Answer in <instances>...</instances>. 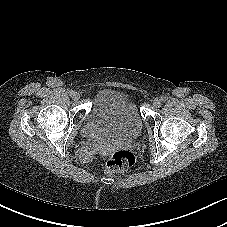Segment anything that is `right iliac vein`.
Masks as SVG:
<instances>
[{
    "label": "right iliac vein",
    "instance_id": "1",
    "mask_svg": "<svg viewBox=\"0 0 227 227\" xmlns=\"http://www.w3.org/2000/svg\"><path fill=\"white\" fill-rule=\"evenodd\" d=\"M73 100L77 101L80 99V94L75 92L74 95L72 96Z\"/></svg>",
    "mask_w": 227,
    "mask_h": 227
}]
</instances>
